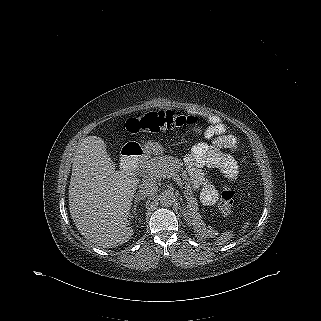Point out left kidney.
I'll return each mask as SVG.
<instances>
[{
    "instance_id": "5707ae66",
    "label": "left kidney",
    "mask_w": 321,
    "mask_h": 321,
    "mask_svg": "<svg viewBox=\"0 0 321 321\" xmlns=\"http://www.w3.org/2000/svg\"><path fill=\"white\" fill-rule=\"evenodd\" d=\"M192 218V225L197 229V231H199V233H201V235H206L210 233V230L206 229L205 224L202 222V220H200V216H192Z\"/></svg>"
}]
</instances>
